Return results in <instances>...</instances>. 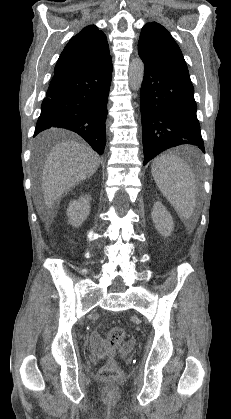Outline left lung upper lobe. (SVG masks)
I'll return each mask as SVG.
<instances>
[{
    "label": "left lung upper lobe",
    "mask_w": 231,
    "mask_h": 419,
    "mask_svg": "<svg viewBox=\"0 0 231 419\" xmlns=\"http://www.w3.org/2000/svg\"><path fill=\"white\" fill-rule=\"evenodd\" d=\"M138 53L144 64L188 73L179 46L168 30L156 22L143 26Z\"/></svg>",
    "instance_id": "left-lung-upper-lobe-1"
}]
</instances>
